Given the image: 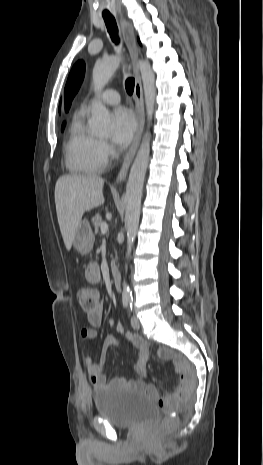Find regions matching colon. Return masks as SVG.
Listing matches in <instances>:
<instances>
[{
    "instance_id": "colon-1",
    "label": "colon",
    "mask_w": 263,
    "mask_h": 465,
    "mask_svg": "<svg viewBox=\"0 0 263 465\" xmlns=\"http://www.w3.org/2000/svg\"><path fill=\"white\" fill-rule=\"evenodd\" d=\"M77 299L81 308L86 312L90 313L94 311L99 305L100 294L99 292L91 287H82L77 292ZM190 386V379L188 376L182 378V387L178 391L176 398H182L185 395L187 388ZM160 407L166 412L160 431L167 433L173 430L177 425V417L175 415L176 399L175 398H161L159 400Z\"/></svg>"
}]
</instances>
